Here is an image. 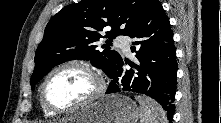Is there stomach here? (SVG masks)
Instances as JSON below:
<instances>
[{
  "label": "stomach",
  "instance_id": "0dacf381",
  "mask_svg": "<svg viewBox=\"0 0 221 123\" xmlns=\"http://www.w3.org/2000/svg\"><path fill=\"white\" fill-rule=\"evenodd\" d=\"M139 116L140 110L131 98L111 94L83 107L61 123H137Z\"/></svg>",
  "mask_w": 221,
  "mask_h": 123
}]
</instances>
